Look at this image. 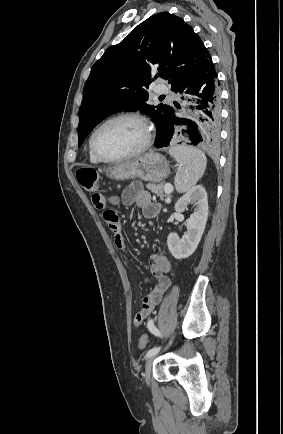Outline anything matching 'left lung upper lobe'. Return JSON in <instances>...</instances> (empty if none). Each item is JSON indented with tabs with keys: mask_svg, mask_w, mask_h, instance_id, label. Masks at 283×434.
<instances>
[{
	"mask_svg": "<svg viewBox=\"0 0 283 434\" xmlns=\"http://www.w3.org/2000/svg\"><path fill=\"white\" fill-rule=\"evenodd\" d=\"M209 59L202 40L183 19L168 12L149 17L92 66L79 109L78 146L109 115L138 109L154 119L157 140L173 108L147 104L145 89L161 77L173 90Z\"/></svg>",
	"mask_w": 283,
	"mask_h": 434,
	"instance_id": "1",
	"label": "left lung upper lobe"
}]
</instances>
